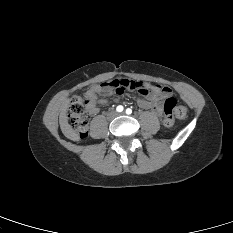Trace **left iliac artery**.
I'll list each match as a JSON object with an SVG mask.
<instances>
[{"instance_id":"44dca946","label":"left iliac artery","mask_w":233,"mask_h":233,"mask_svg":"<svg viewBox=\"0 0 233 233\" xmlns=\"http://www.w3.org/2000/svg\"><path fill=\"white\" fill-rule=\"evenodd\" d=\"M131 113H132V110H131L130 108H127V109H126V114L129 115V114H131Z\"/></svg>"}]
</instances>
